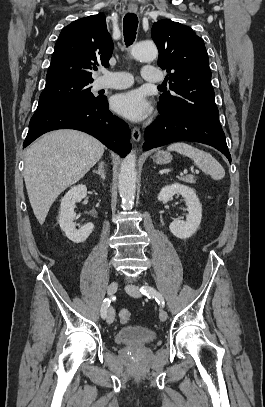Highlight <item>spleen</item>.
<instances>
[{"label":"spleen","mask_w":265,"mask_h":407,"mask_svg":"<svg viewBox=\"0 0 265 407\" xmlns=\"http://www.w3.org/2000/svg\"><path fill=\"white\" fill-rule=\"evenodd\" d=\"M168 151L187 156L194 161V164L214 180H221L225 176V170L221 164L208 152L195 148L187 143L177 142L167 147Z\"/></svg>","instance_id":"1"}]
</instances>
